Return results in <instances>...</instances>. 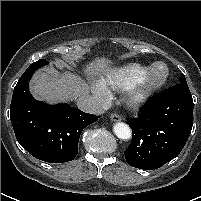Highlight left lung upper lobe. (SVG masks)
Segmentation results:
<instances>
[{"instance_id":"obj_1","label":"left lung upper lobe","mask_w":201,"mask_h":201,"mask_svg":"<svg viewBox=\"0 0 201 201\" xmlns=\"http://www.w3.org/2000/svg\"><path fill=\"white\" fill-rule=\"evenodd\" d=\"M179 84L187 85L184 74H181L180 79H179Z\"/></svg>"}]
</instances>
